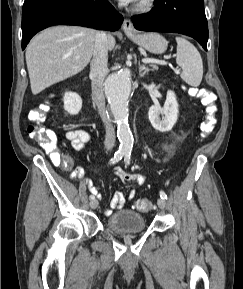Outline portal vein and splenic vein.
<instances>
[{
    "label": "portal vein and splenic vein",
    "mask_w": 243,
    "mask_h": 289,
    "mask_svg": "<svg viewBox=\"0 0 243 289\" xmlns=\"http://www.w3.org/2000/svg\"><path fill=\"white\" fill-rule=\"evenodd\" d=\"M142 62H144V63H154V64H158V65H167L166 61L158 60V59H150V58L142 59Z\"/></svg>",
    "instance_id": "obj_1"
}]
</instances>
